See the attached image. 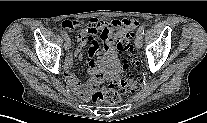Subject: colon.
Listing matches in <instances>:
<instances>
[{"mask_svg": "<svg viewBox=\"0 0 207 123\" xmlns=\"http://www.w3.org/2000/svg\"><path fill=\"white\" fill-rule=\"evenodd\" d=\"M132 36V29L125 31L119 38L117 44L126 74H114L109 77L105 81L103 89L92 95L94 102L106 104L119 103L124 94L135 92L142 83L140 74L134 72L136 60Z\"/></svg>", "mask_w": 207, "mask_h": 123, "instance_id": "1", "label": "colon"}]
</instances>
